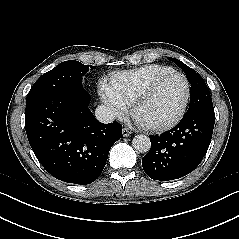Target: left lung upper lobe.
<instances>
[{
	"instance_id": "left-lung-upper-lobe-1",
	"label": "left lung upper lobe",
	"mask_w": 239,
	"mask_h": 239,
	"mask_svg": "<svg viewBox=\"0 0 239 239\" xmlns=\"http://www.w3.org/2000/svg\"><path fill=\"white\" fill-rule=\"evenodd\" d=\"M168 59L176 63V65L186 73V77L191 84L190 104L186 114L195 112L199 109L213 108L209 89L200 74L178 59L170 57H168Z\"/></svg>"
}]
</instances>
